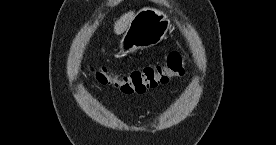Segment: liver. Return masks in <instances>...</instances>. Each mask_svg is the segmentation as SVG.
Wrapping results in <instances>:
<instances>
[{"label": "liver", "mask_w": 276, "mask_h": 145, "mask_svg": "<svg viewBox=\"0 0 276 145\" xmlns=\"http://www.w3.org/2000/svg\"><path fill=\"white\" fill-rule=\"evenodd\" d=\"M134 16V11H129L128 13L123 14L114 24L115 34L120 35L124 33L128 29Z\"/></svg>", "instance_id": "obj_1"}]
</instances>
